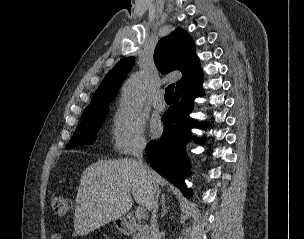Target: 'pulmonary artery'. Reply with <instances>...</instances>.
<instances>
[{"label":"pulmonary artery","instance_id":"1","mask_svg":"<svg viewBox=\"0 0 304 239\" xmlns=\"http://www.w3.org/2000/svg\"><path fill=\"white\" fill-rule=\"evenodd\" d=\"M153 106L158 110H163L166 106V103L163 99V91H158L153 100Z\"/></svg>","mask_w":304,"mask_h":239}]
</instances>
